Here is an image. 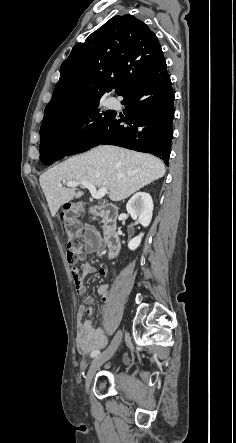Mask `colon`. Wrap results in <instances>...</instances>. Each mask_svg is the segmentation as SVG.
<instances>
[{
    "instance_id": "5ec220e1",
    "label": "colon",
    "mask_w": 236,
    "mask_h": 443,
    "mask_svg": "<svg viewBox=\"0 0 236 443\" xmlns=\"http://www.w3.org/2000/svg\"><path fill=\"white\" fill-rule=\"evenodd\" d=\"M75 213V208L67 205L58 214L59 222L65 226L66 258L71 264L81 262L85 256L83 251L84 242L80 234L82 225L74 219Z\"/></svg>"
}]
</instances>
